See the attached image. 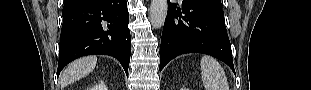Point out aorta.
Wrapping results in <instances>:
<instances>
[{
	"label": "aorta",
	"instance_id": "obj_1",
	"mask_svg": "<svg viewBox=\"0 0 311 90\" xmlns=\"http://www.w3.org/2000/svg\"><path fill=\"white\" fill-rule=\"evenodd\" d=\"M167 0H152L150 5L149 17L154 28L158 29L164 25L167 15Z\"/></svg>",
	"mask_w": 311,
	"mask_h": 90
}]
</instances>
